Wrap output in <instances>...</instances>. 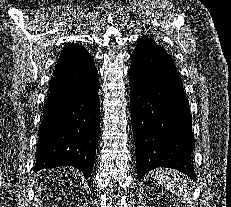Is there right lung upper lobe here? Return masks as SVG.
Listing matches in <instances>:
<instances>
[{"label":"right lung upper lobe","mask_w":231,"mask_h":207,"mask_svg":"<svg viewBox=\"0 0 231 207\" xmlns=\"http://www.w3.org/2000/svg\"><path fill=\"white\" fill-rule=\"evenodd\" d=\"M90 56L83 46L66 44L60 54L58 65L65 70L74 69Z\"/></svg>","instance_id":"cb5924a9"}]
</instances>
